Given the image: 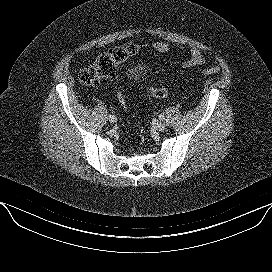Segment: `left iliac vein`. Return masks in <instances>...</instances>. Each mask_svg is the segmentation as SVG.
Segmentation results:
<instances>
[{
  "mask_svg": "<svg viewBox=\"0 0 272 272\" xmlns=\"http://www.w3.org/2000/svg\"><path fill=\"white\" fill-rule=\"evenodd\" d=\"M154 127L158 131H164L166 128V125L163 122H156Z\"/></svg>",
  "mask_w": 272,
  "mask_h": 272,
  "instance_id": "1",
  "label": "left iliac vein"
}]
</instances>
